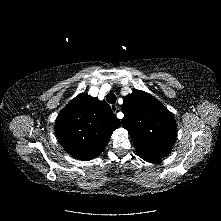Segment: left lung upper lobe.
I'll return each mask as SVG.
<instances>
[{
    "mask_svg": "<svg viewBox=\"0 0 221 221\" xmlns=\"http://www.w3.org/2000/svg\"><path fill=\"white\" fill-rule=\"evenodd\" d=\"M127 129L140 157L156 163L167 156L175 142L176 122L170 111L150 94L135 90L121 105Z\"/></svg>",
    "mask_w": 221,
    "mask_h": 221,
    "instance_id": "obj_1",
    "label": "left lung upper lobe"
}]
</instances>
